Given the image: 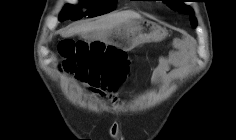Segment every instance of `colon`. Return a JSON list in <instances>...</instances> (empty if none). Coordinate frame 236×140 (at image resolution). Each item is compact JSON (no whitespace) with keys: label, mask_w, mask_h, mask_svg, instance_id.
<instances>
[{"label":"colon","mask_w":236,"mask_h":140,"mask_svg":"<svg viewBox=\"0 0 236 140\" xmlns=\"http://www.w3.org/2000/svg\"><path fill=\"white\" fill-rule=\"evenodd\" d=\"M59 55L62 71L76 75L102 95L114 92L128 73L125 52L99 41L63 40Z\"/></svg>","instance_id":"obj_1"}]
</instances>
